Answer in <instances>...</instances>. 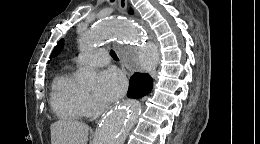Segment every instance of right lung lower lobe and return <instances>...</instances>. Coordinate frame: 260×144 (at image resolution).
<instances>
[{"label":"right lung lower lobe","mask_w":260,"mask_h":144,"mask_svg":"<svg viewBox=\"0 0 260 144\" xmlns=\"http://www.w3.org/2000/svg\"><path fill=\"white\" fill-rule=\"evenodd\" d=\"M153 87V79L147 73H134L130 78L127 96L140 98L149 94Z\"/></svg>","instance_id":"right-lung-lower-lobe-1"}]
</instances>
